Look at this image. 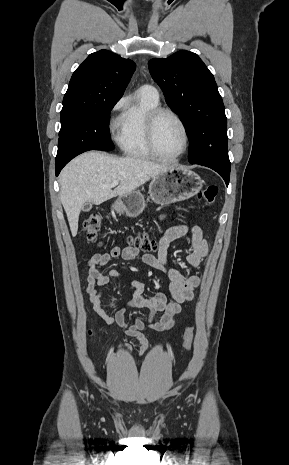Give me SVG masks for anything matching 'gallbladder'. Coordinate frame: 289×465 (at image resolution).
Returning <instances> with one entry per match:
<instances>
[{
  "instance_id": "gallbladder-1",
  "label": "gallbladder",
  "mask_w": 289,
  "mask_h": 465,
  "mask_svg": "<svg viewBox=\"0 0 289 465\" xmlns=\"http://www.w3.org/2000/svg\"><path fill=\"white\" fill-rule=\"evenodd\" d=\"M91 208H92L91 203L87 202V203H85V204L83 205L82 210L85 211V212H87V211H89Z\"/></svg>"
}]
</instances>
